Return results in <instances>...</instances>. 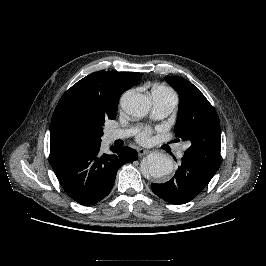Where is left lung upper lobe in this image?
<instances>
[{
    "mask_svg": "<svg viewBox=\"0 0 266 266\" xmlns=\"http://www.w3.org/2000/svg\"><path fill=\"white\" fill-rule=\"evenodd\" d=\"M166 82L180 96L175 135L190 142L184 158L217 172L220 166L221 132L219 117L201 91L189 81L166 76Z\"/></svg>",
    "mask_w": 266,
    "mask_h": 266,
    "instance_id": "1",
    "label": "left lung upper lobe"
}]
</instances>
